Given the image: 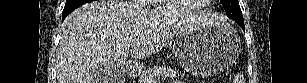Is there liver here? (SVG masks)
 I'll return each mask as SVG.
<instances>
[{
	"instance_id": "6515ba94",
	"label": "liver",
	"mask_w": 307,
	"mask_h": 83,
	"mask_svg": "<svg viewBox=\"0 0 307 83\" xmlns=\"http://www.w3.org/2000/svg\"><path fill=\"white\" fill-rule=\"evenodd\" d=\"M210 12L174 15L143 10L122 0L82 5L64 20L57 50L58 83H94L99 67L119 68L128 55L144 59L162 50L175 36L215 24Z\"/></svg>"
}]
</instances>
